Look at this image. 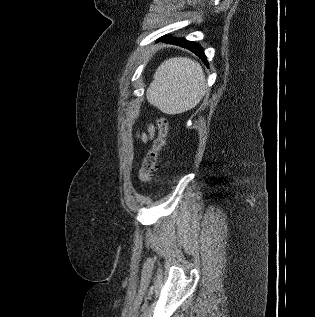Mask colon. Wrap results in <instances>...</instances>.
Returning a JSON list of instances; mask_svg holds the SVG:
<instances>
[{
  "label": "colon",
  "instance_id": "colon-1",
  "mask_svg": "<svg viewBox=\"0 0 315 317\" xmlns=\"http://www.w3.org/2000/svg\"><path fill=\"white\" fill-rule=\"evenodd\" d=\"M168 133V120L166 117H161L158 120V135L154 139L153 145L147 153L142 166L139 170V180L141 183H148L153 177V172L157 167V160L161 150L165 144V139Z\"/></svg>",
  "mask_w": 315,
  "mask_h": 317
}]
</instances>
